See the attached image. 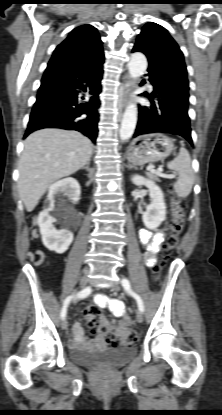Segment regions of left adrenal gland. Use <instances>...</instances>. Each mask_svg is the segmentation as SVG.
I'll use <instances>...</instances> for the list:
<instances>
[{
    "instance_id": "left-adrenal-gland-1",
    "label": "left adrenal gland",
    "mask_w": 222,
    "mask_h": 415,
    "mask_svg": "<svg viewBox=\"0 0 222 415\" xmlns=\"http://www.w3.org/2000/svg\"><path fill=\"white\" fill-rule=\"evenodd\" d=\"M129 169H132V168H134V166L133 165H131V164H128V166H127Z\"/></svg>"
}]
</instances>
